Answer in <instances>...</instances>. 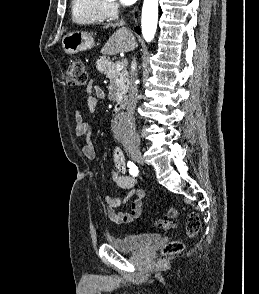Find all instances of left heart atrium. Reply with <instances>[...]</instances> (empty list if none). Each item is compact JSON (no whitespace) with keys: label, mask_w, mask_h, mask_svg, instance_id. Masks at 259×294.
Listing matches in <instances>:
<instances>
[{"label":"left heart atrium","mask_w":259,"mask_h":294,"mask_svg":"<svg viewBox=\"0 0 259 294\" xmlns=\"http://www.w3.org/2000/svg\"><path fill=\"white\" fill-rule=\"evenodd\" d=\"M137 0H120L123 5L129 6L136 2Z\"/></svg>","instance_id":"obj_1"}]
</instances>
